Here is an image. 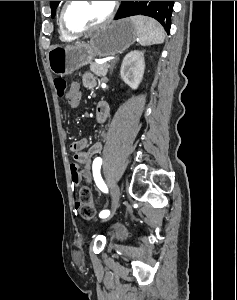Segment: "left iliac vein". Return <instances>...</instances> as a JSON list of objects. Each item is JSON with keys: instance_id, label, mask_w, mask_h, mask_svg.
I'll use <instances>...</instances> for the list:
<instances>
[{"instance_id": "1", "label": "left iliac vein", "mask_w": 237, "mask_h": 300, "mask_svg": "<svg viewBox=\"0 0 237 300\" xmlns=\"http://www.w3.org/2000/svg\"><path fill=\"white\" fill-rule=\"evenodd\" d=\"M120 201V189L117 184H115L112 188V213L115 212L117 207L119 206Z\"/></svg>"}]
</instances>
